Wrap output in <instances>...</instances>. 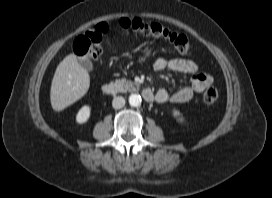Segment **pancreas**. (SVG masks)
<instances>
[{"label": "pancreas", "instance_id": "obj_1", "mask_svg": "<svg viewBox=\"0 0 272 198\" xmlns=\"http://www.w3.org/2000/svg\"><path fill=\"white\" fill-rule=\"evenodd\" d=\"M114 85L119 89L120 92L135 91L140 87L138 83L126 80L125 78L117 79Z\"/></svg>", "mask_w": 272, "mask_h": 198}]
</instances>
